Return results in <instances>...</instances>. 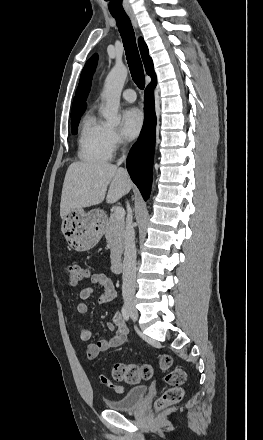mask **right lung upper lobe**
<instances>
[{"label":"right lung upper lobe","instance_id":"right-lung-upper-lobe-1","mask_svg":"<svg viewBox=\"0 0 263 440\" xmlns=\"http://www.w3.org/2000/svg\"><path fill=\"white\" fill-rule=\"evenodd\" d=\"M142 60L145 65L146 73L151 76L152 79L156 78L154 72L153 62L149 56L148 48L143 38L138 40ZM98 55L94 54L86 63L80 78L78 89L76 91V97L74 98L72 105L71 118L77 115L83 114L86 108V99L91 87V80L93 73L97 65Z\"/></svg>","mask_w":263,"mask_h":440}]
</instances>
